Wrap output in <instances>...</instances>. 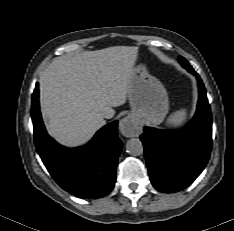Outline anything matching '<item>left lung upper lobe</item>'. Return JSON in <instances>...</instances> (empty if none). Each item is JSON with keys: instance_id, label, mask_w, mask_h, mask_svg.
I'll use <instances>...</instances> for the list:
<instances>
[{"instance_id": "obj_1", "label": "left lung upper lobe", "mask_w": 234, "mask_h": 231, "mask_svg": "<svg viewBox=\"0 0 234 231\" xmlns=\"http://www.w3.org/2000/svg\"><path fill=\"white\" fill-rule=\"evenodd\" d=\"M179 61L180 62H187V60L185 58H183V57H179Z\"/></svg>"}]
</instances>
